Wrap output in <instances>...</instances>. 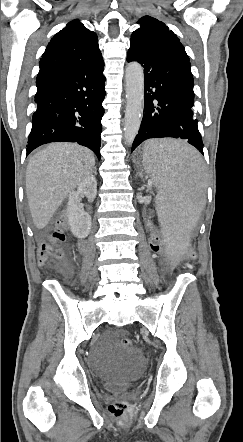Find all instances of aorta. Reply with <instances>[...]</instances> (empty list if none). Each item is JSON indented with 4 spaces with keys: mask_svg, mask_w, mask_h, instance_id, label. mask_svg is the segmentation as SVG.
<instances>
[{
    "mask_svg": "<svg viewBox=\"0 0 243 442\" xmlns=\"http://www.w3.org/2000/svg\"><path fill=\"white\" fill-rule=\"evenodd\" d=\"M126 111L124 122V141L131 145L138 134L144 105V73L141 65L131 62L125 70Z\"/></svg>",
    "mask_w": 243,
    "mask_h": 442,
    "instance_id": "aorta-1",
    "label": "aorta"
}]
</instances>
